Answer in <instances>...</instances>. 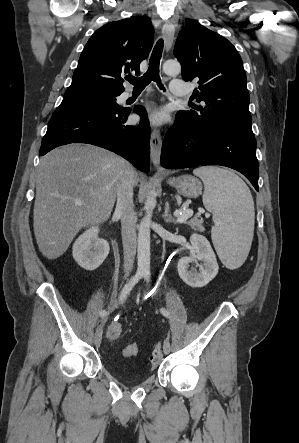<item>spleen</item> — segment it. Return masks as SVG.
<instances>
[{"label": "spleen", "instance_id": "spleen-1", "mask_svg": "<svg viewBox=\"0 0 299 443\" xmlns=\"http://www.w3.org/2000/svg\"><path fill=\"white\" fill-rule=\"evenodd\" d=\"M193 173L204 183L203 204L213 214L211 237L222 263L240 267L251 247L254 202L249 188L233 172L219 167H199Z\"/></svg>", "mask_w": 299, "mask_h": 443}]
</instances>
